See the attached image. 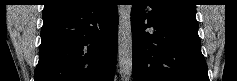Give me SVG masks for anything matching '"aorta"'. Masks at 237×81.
Returning <instances> with one entry per match:
<instances>
[{
    "mask_svg": "<svg viewBox=\"0 0 237 81\" xmlns=\"http://www.w3.org/2000/svg\"><path fill=\"white\" fill-rule=\"evenodd\" d=\"M131 5H119L118 61L122 81H129L132 74Z\"/></svg>",
    "mask_w": 237,
    "mask_h": 81,
    "instance_id": "aorta-1",
    "label": "aorta"
}]
</instances>
